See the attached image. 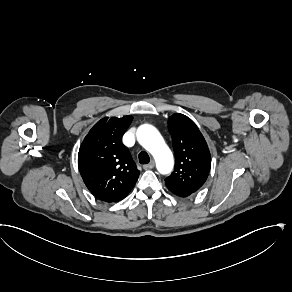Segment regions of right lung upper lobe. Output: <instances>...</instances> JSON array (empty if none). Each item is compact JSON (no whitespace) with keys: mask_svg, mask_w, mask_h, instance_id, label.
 <instances>
[{"mask_svg":"<svg viewBox=\"0 0 292 292\" xmlns=\"http://www.w3.org/2000/svg\"><path fill=\"white\" fill-rule=\"evenodd\" d=\"M132 116L102 118L84 138L78 153V167L88 190L99 200L117 202L125 198L140 171L122 136Z\"/></svg>","mask_w":292,"mask_h":292,"instance_id":"cb5924a9","label":"right lung upper lobe"}]
</instances>
